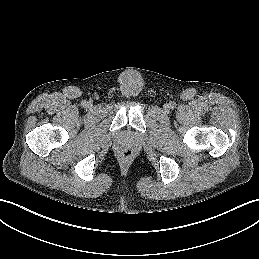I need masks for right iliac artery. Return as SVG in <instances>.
<instances>
[{"label":"right iliac artery","instance_id":"82829eb1","mask_svg":"<svg viewBox=\"0 0 259 259\" xmlns=\"http://www.w3.org/2000/svg\"><path fill=\"white\" fill-rule=\"evenodd\" d=\"M82 106H86L87 105V102L86 101H82Z\"/></svg>","mask_w":259,"mask_h":259}]
</instances>
